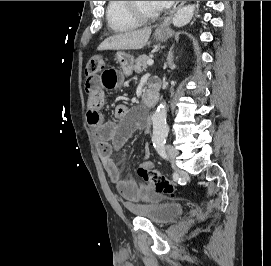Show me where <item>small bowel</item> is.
Listing matches in <instances>:
<instances>
[{
    "label": "small bowel",
    "mask_w": 271,
    "mask_h": 266,
    "mask_svg": "<svg viewBox=\"0 0 271 266\" xmlns=\"http://www.w3.org/2000/svg\"><path fill=\"white\" fill-rule=\"evenodd\" d=\"M123 82L121 69L114 65H106L100 74L88 76L85 89L88 94L86 117L88 125L93 130L98 141L104 169L115 185L118 193L129 207L138 203H157L162 194L156 192L150 185H139L133 179H122L119 167L113 159L114 152L137 129L144 127V121L139 108L130 109L126 105L115 108L118 123L105 121L100 112L104 104V89L115 90ZM144 167L153 168L149 162Z\"/></svg>",
    "instance_id": "c3829d8e"
}]
</instances>
